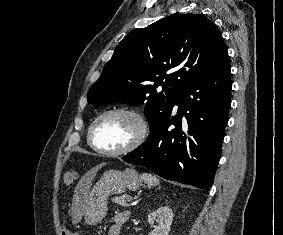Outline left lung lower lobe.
Listing matches in <instances>:
<instances>
[{
  "label": "left lung lower lobe",
  "instance_id": "1",
  "mask_svg": "<svg viewBox=\"0 0 283 235\" xmlns=\"http://www.w3.org/2000/svg\"><path fill=\"white\" fill-rule=\"evenodd\" d=\"M226 61L199 76L179 92L170 114L150 133L146 142L125 155V162L142 165L157 175L208 190L220 159L228 122L232 88ZM182 116L186 120L182 123ZM175 128L171 129L170 126Z\"/></svg>",
  "mask_w": 283,
  "mask_h": 235
}]
</instances>
